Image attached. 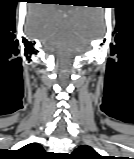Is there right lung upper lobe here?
Returning <instances> with one entry per match:
<instances>
[{"instance_id":"right-lung-upper-lobe-1","label":"right lung upper lobe","mask_w":134,"mask_h":159,"mask_svg":"<svg viewBox=\"0 0 134 159\" xmlns=\"http://www.w3.org/2000/svg\"><path fill=\"white\" fill-rule=\"evenodd\" d=\"M22 153L27 154L29 157H34L33 159H39V155L43 153V148L37 143H30L21 149H19Z\"/></svg>"}]
</instances>
